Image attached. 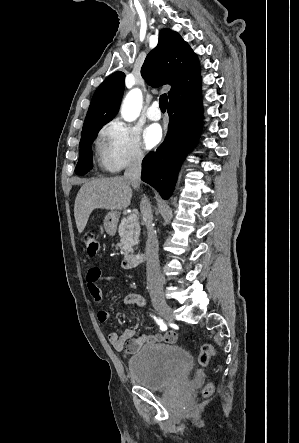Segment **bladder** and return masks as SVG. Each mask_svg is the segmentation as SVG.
Listing matches in <instances>:
<instances>
[{"label": "bladder", "instance_id": "obj_1", "mask_svg": "<svg viewBox=\"0 0 299 443\" xmlns=\"http://www.w3.org/2000/svg\"><path fill=\"white\" fill-rule=\"evenodd\" d=\"M191 354L177 344H153L142 348L128 362L134 382L149 390L168 388L190 376Z\"/></svg>", "mask_w": 299, "mask_h": 443}]
</instances>
